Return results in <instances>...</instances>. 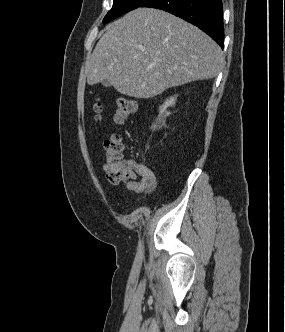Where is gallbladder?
Wrapping results in <instances>:
<instances>
[{
  "mask_svg": "<svg viewBox=\"0 0 285 332\" xmlns=\"http://www.w3.org/2000/svg\"><path fill=\"white\" fill-rule=\"evenodd\" d=\"M101 84H102L103 86H105V87H110V86H111V83H110L109 81H107V80H103V81H101Z\"/></svg>",
  "mask_w": 285,
  "mask_h": 332,
  "instance_id": "obj_1",
  "label": "gallbladder"
}]
</instances>
